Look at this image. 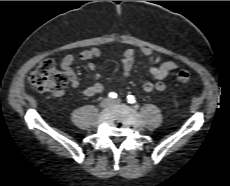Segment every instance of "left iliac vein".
I'll list each match as a JSON object with an SVG mask.
<instances>
[{
    "label": "left iliac vein",
    "mask_w": 230,
    "mask_h": 186,
    "mask_svg": "<svg viewBox=\"0 0 230 186\" xmlns=\"http://www.w3.org/2000/svg\"><path fill=\"white\" fill-rule=\"evenodd\" d=\"M111 103L114 105H118L121 103V100L119 98H117V99L113 100Z\"/></svg>",
    "instance_id": "obj_1"
}]
</instances>
